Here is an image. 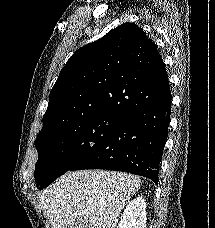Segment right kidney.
<instances>
[{
    "label": "right kidney",
    "mask_w": 215,
    "mask_h": 228,
    "mask_svg": "<svg viewBox=\"0 0 215 228\" xmlns=\"http://www.w3.org/2000/svg\"><path fill=\"white\" fill-rule=\"evenodd\" d=\"M146 202L142 196L128 202L118 228H146Z\"/></svg>",
    "instance_id": "ca27d5eb"
}]
</instances>
